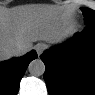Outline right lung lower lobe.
<instances>
[{"label": "right lung lower lobe", "instance_id": "1", "mask_svg": "<svg viewBox=\"0 0 95 95\" xmlns=\"http://www.w3.org/2000/svg\"><path fill=\"white\" fill-rule=\"evenodd\" d=\"M37 57L35 51L21 58H13L0 64L1 93L3 95H16L20 80L28 64Z\"/></svg>", "mask_w": 95, "mask_h": 95}]
</instances>
